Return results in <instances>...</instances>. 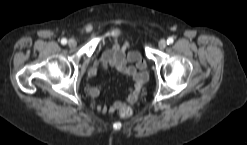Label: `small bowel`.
<instances>
[{"instance_id":"small-bowel-1","label":"small bowel","mask_w":247,"mask_h":145,"mask_svg":"<svg viewBox=\"0 0 247 145\" xmlns=\"http://www.w3.org/2000/svg\"><path fill=\"white\" fill-rule=\"evenodd\" d=\"M129 46V41H126L123 45L113 42L109 48L104 50L100 59L88 71V76L94 77L99 71L114 67L120 73L129 76L133 83L124 101H114L110 105L97 103L95 108L99 113L114 112L123 105H133L138 101L141 87L148 77L147 64L138 51L126 54L125 49ZM101 91V85L97 84L91 86L88 92L92 98H98Z\"/></svg>"}]
</instances>
